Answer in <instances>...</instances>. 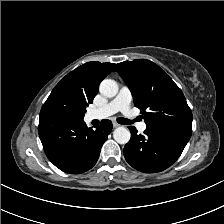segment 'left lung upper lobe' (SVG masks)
Returning <instances> with one entry per match:
<instances>
[{"label": "left lung upper lobe", "mask_w": 224, "mask_h": 224, "mask_svg": "<svg viewBox=\"0 0 224 224\" xmlns=\"http://www.w3.org/2000/svg\"><path fill=\"white\" fill-rule=\"evenodd\" d=\"M114 71L129 87L147 126L192 131V112L181 89L158 65L136 59L117 64Z\"/></svg>", "instance_id": "left-lung-upper-lobe-1"}]
</instances>
